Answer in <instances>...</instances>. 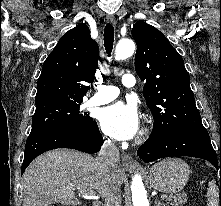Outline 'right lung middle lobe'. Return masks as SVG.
<instances>
[{
	"label": "right lung middle lobe",
	"instance_id": "1",
	"mask_svg": "<svg viewBox=\"0 0 221 206\" xmlns=\"http://www.w3.org/2000/svg\"><path fill=\"white\" fill-rule=\"evenodd\" d=\"M81 103H51L36 107L31 133L92 125L95 121L86 113L79 112Z\"/></svg>",
	"mask_w": 221,
	"mask_h": 206
}]
</instances>
